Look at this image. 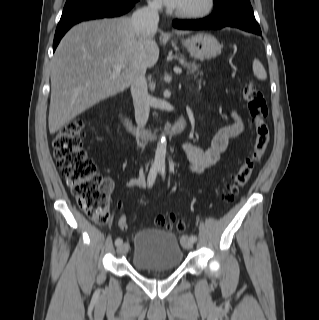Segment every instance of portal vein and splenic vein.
<instances>
[{"instance_id": "obj_1", "label": "portal vein and splenic vein", "mask_w": 319, "mask_h": 320, "mask_svg": "<svg viewBox=\"0 0 319 320\" xmlns=\"http://www.w3.org/2000/svg\"><path fill=\"white\" fill-rule=\"evenodd\" d=\"M124 68H125V65L115 64L113 66V73L111 75V79L117 77L120 74V72L122 71V69H124ZM174 72L180 74V73H182V69L179 67H174Z\"/></svg>"}]
</instances>
